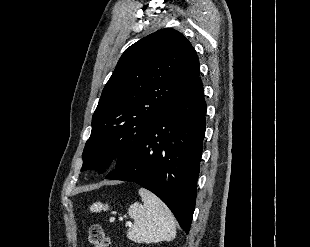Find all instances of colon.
Masks as SVG:
<instances>
[{"mask_svg": "<svg viewBox=\"0 0 310 247\" xmlns=\"http://www.w3.org/2000/svg\"><path fill=\"white\" fill-rule=\"evenodd\" d=\"M88 238L94 247H111L108 236L99 224L90 225Z\"/></svg>", "mask_w": 310, "mask_h": 247, "instance_id": "1", "label": "colon"}]
</instances>
